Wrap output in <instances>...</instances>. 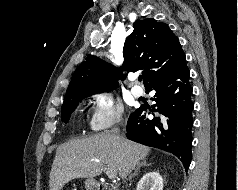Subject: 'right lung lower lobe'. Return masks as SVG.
<instances>
[{"instance_id":"obj_1","label":"right lung lower lobe","mask_w":238,"mask_h":190,"mask_svg":"<svg viewBox=\"0 0 238 190\" xmlns=\"http://www.w3.org/2000/svg\"><path fill=\"white\" fill-rule=\"evenodd\" d=\"M190 71L186 59L170 74L154 81L146 92L156 91L148 119L145 107L136 109L127 122V138L176 155L188 171L191 162L193 108ZM156 107V108H155Z\"/></svg>"}]
</instances>
